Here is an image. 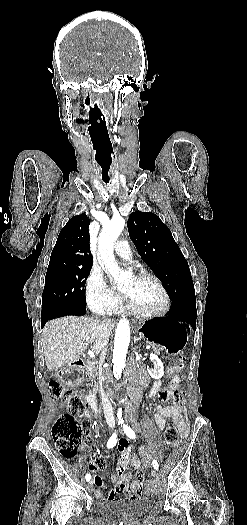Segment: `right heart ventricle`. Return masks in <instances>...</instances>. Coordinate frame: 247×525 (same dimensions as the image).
I'll use <instances>...</instances> for the list:
<instances>
[{
    "label": "right heart ventricle",
    "mask_w": 247,
    "mask_h": 525,
    "mask_svg": "<svg viewBox=\"0 0 247 525\" xmlns=\"http://www.w3.org/2000/svg\"><path fill=\"white\" fill-rule=\"evenodd\" d=\"M130 311V306L129 305H124V306H117V307H113L112 310L108 313V314H123V313H127Z\"/></svg>",
    "instance_id": "right-heart-ventricle-1"
}]
</instances>
